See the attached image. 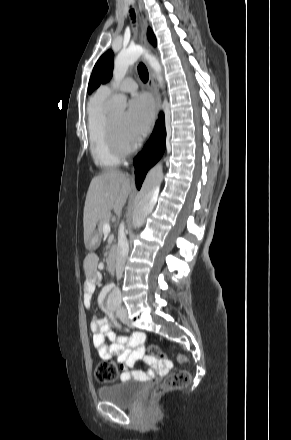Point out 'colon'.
<instances>
[{"mask_svg": "<svg viewBox=\"0 0 291 440\" xmlns=\"http://www.w3.org/2000/svg\"><path fill=\"white\" fill-rule=\"evenodd\" d=\"M148 357H160L164 358L165 354L156 345H151L148 349ZM177 360L180 363H186L187 358L183 354L177 355ZM118 371L113 361L107 360L99 364L95 369V376L99 382L107 383L112 382L117 378ZM191 381V374L187 370L174 371L167 380L159 387L155 388L151 396L153 399L157 398L164 392L174 391L182 389L187 386Z\"/></svg>", "mask_w": 291, "mask_h": 440, "instance_id": "5ec220e1", "label": "colon"}]
</instances>
